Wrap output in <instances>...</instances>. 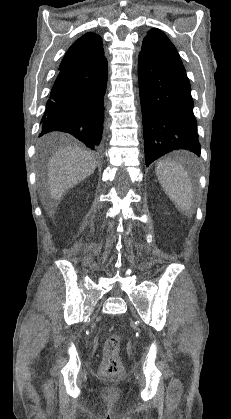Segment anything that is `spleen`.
Masks as SVG:
<instances>
[{
	"mask_svg": "<svg viewBox=\"0 0 231 419\" xmlns=\"http://www.w3.org/2000/svg\"><path fill=\"white\" fill-rule=\"evenodd\" d=\"M156 175L167 196L187 213L192 206L193 191L185 169L175 161L162 160L157 164Z\"/></svg>",
	"mask_w": 231,
	"mask_h": 419,
	"instance_id": "spleen-1",
	"label": "spleen"
}]
</instances>
